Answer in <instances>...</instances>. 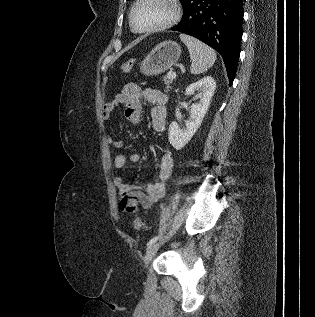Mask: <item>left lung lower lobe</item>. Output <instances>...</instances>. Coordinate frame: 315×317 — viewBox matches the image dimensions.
<instances>
[{
	"mask_svg": "<svg viewBox=\"0 0 315 317\" xmlns=\"http://www.w3.org/2000/svg\"><path fill=\"white\" fill-rule=\"evenodd\" d=\"M243 0H193L181 22L171 30L198 38L214 48L223 58L230 85L240 53Z\"/></svg>",
	"mask_w": 315,
	"mask_h": 317,
	"instance_id": "1",
	"label": "left lung lower lobe"
}]
</instances>
